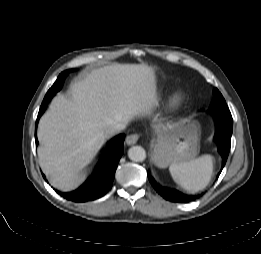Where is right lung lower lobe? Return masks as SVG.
<instances>
[{
  "label": "right lung lower lobe",
  "instance_id": "obj_1",
  "mask_svg": "<svg viewBox=\"0 0 261 254\" xmlns=\"http://www.w3.org/2000/svg\"><path fill=\"white\" fill-rule=\"evenodd\" d=\"M68 71L62 72L56 82L57 91H48L39 110L36 129L40 116L45 111L50 99L58 92L63 84L65 77L67 76ZM124 134L116 136L108 145L107 149L100 158L95 171L93 174L75 191L68 193H60L64 198L75 201V202H85L89 200H94L102 197L106 194L113 183L115 171L118 165V162L124 152L123 143H124ZM35 140L36 145H38V140L36 137L35 131ZM45 178V176L43 175Z\"/></svg>",
  "mask_w": 261,
  "mask_h": 254
}]
</instances>
